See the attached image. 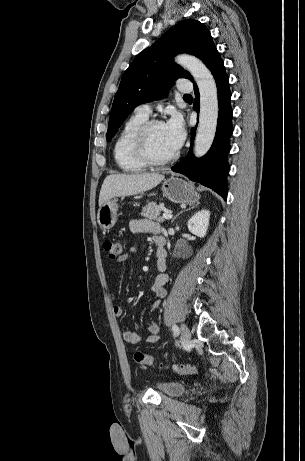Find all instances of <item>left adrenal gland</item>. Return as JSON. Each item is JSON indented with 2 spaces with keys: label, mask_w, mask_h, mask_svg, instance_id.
<instances>
[{
  "label": "left adrenal gland",
  "mask_w": 305,
  "mask_h": 461,
  "mask_svg": "<svg viewBox=\"0 0 305 461\" xmlns=\"http://www.w3.org/2000/svg\"><path fill=\"white\" fill-rule=\"evenodd\" d=\"M197 205H198V203H197L196 205H194V206H197ZM194 206H191L189 209H186V210H190L191 208H194ZM186 210H182L181 212H179V213L172 219L171 223H173V222L176 220V218H177L180 214H182L183 212H185Z\"/></svg>",
  "instance_id": "1"
}]
</instances>
